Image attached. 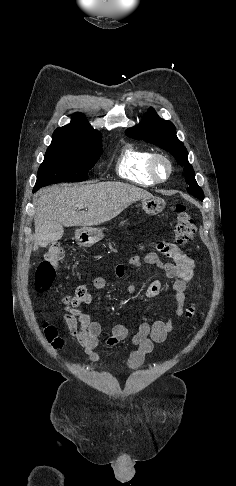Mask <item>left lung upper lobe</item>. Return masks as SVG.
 I'll list each match as a JSON object with an SVG mask.
<instances>
[{
  "label": "left lung upper lobe",
  "mask_w": 236,
  "mask_h": 486,
  "mask_svg": "<svg viewBox=\"0 0 236 486\" xmlns=\"http://www.w3.org/2000/svg\"><path fill=\"white\" fill-rule=\"evenodd\" d=\"M125 133L128 137L143 139L169 151L176 158L177 163L184 167L185 180L189 185L188 192L203 201L204 194L195 180L192 165L188 162V152L177 138L172 122L161 119L151 108L139 125L129 128Z\"/></svg>",
  "instance_id": "5c2ea615"
}]
</instances>
